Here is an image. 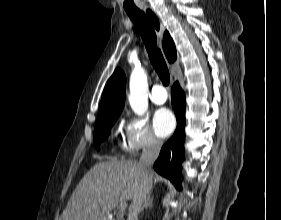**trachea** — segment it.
<instances>
[{
	"label": "trachea",
	"mask_w": 281,
	"mask_h": 220,
	"mask_svg": "<svg viewBox=\"0 0 281 220\" xmlns=\"http://www.w3.org/2000/svg\"><path fill=\"white\" fill-rule=\"evenodd\" d=\"M126 13L130 17L132 22L136 25L147 49L149 59L159 78L165 86H168L170 81L169 70L165 63L161 50L157 48V37L153 27L147 20L143 11L139 9L126 10Z\"/></svg>",
	"instance_id": "trachea-1"
}]
</instances>
